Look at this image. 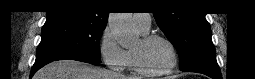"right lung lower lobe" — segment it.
Listing matches in <instances>:
<instances>
[{
	"instance_id": "1",
	"label": "right lung lower lobe",
	"mask_w": 255,
	"mask_h": 79,
	"mask_svg": "<svg viewBox=\"0 0 255 79\" xmlns=\"http://www.w3.org/2000/svg\"><path fill=\"white\" fill-rule=\"evenodd\" d=\"M56 60H77V61H82V62H86V63H89L87 61H83V60H80V59H76V58H71V57H54V58H47V59H44V60H41V61H35L33 67H32V70H31V73H30V77H32L35 72L37 70H39L41 67H43L44 65L52 62V61H56Z\"/></svg>"
}]
</instances>
